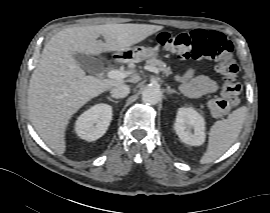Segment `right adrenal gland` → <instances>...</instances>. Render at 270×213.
Masks as SVG:
<instances>
[{
  "mask_svg": "<svg viewBox=\"0 0 270 213\" xmlns=\"http://www.w3.org/2000/svg\"><path fill=\"white\" fill-rule=\"evenodd\" d=\"M107 99H108L109 101L113 102V103H118V102H119V101H117V100L112 99L111 97H108Z\"/></svg>",
  "mask_w": 270,
  "mask_h": 213,
  "instance_id": "obj_1",
  "label": "right adrenal gland"
}]
</instances>
